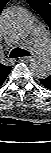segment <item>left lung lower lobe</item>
Here are the masks:
<instances>
[{
	"label": "left lung lower lobe",
	"instance_id": "obj_1",
	"mask_svg": "<svg viewBox=\"0 0 51 153\" xmlns=\"http://www.w3.org/2000/svg\"><path fill=\"white\" fill-rule=\"evenodd\" d=\"M40 83L47 89H51V75L45 79H40Z\"/></svg>",
	"mask_w": 51,
	"mask_h": 153
}]
</instances>
